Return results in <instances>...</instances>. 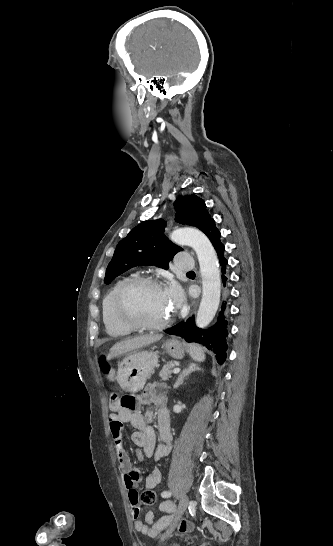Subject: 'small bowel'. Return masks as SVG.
<instances>
[{
    "instance_id": "small-bowel-1",
    "label": "small bowel",
    "mask_w": 333,
    "mask_h": 546,
    "mask_svg": "<svg viewBox=\"0 0 333 546\" xmlns=\"http://www.w3.org/2000/svg\"><path fill=\"white\" fill-rule=\"evenodd\" d=\"M109 380L114 381L117 376L116 370H111ZM138 406L134 408L114 406V412L109 417V427L114 441L118 465L123 474L124 486L128 492V499L131 505V514L134 518L135 530L144 535L155 537L173 522L176 506L172 502H164L160 510L166 512L158 521H154L152 511L146 513L145 521L139 519L141 507L139 505L137 485L141 481V473L134 468L130 462L125 449V437L123 425L129 424L132 427L130 432L133 443L140 447L147 457H154L156 461L168 455L172 448V435L169 425L168 397L163 392V385L158 383L149 384L138 398ZM155 404L158 407V430L151 426L155 415L151 411L143 413L141 405ZM161 472L155 468L147 476L145 485L147 488H155L161 482ZM186 529V524L181 526Z\"/></svg>"
}]
</instances>
